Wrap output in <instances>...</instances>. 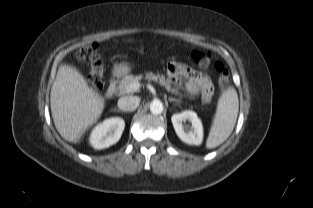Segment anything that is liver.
I'll use <instances>...</instances> for the list:
<instances>
[{"mask_svg":"<svg viewBox=\"0 0 313 208\" xmlns=\"http://www.w3.org/2000/svg\"><path fill=\"white\" fill-rule=\"evenodd\" d=\"M54 125L66 141L77 143L100 117L104 102L73 67L61 65L50 93Z\"/></svg>","mask_w":313,"mask_h":208,"instance_id":"1","label":"liver"}]
</instances>
